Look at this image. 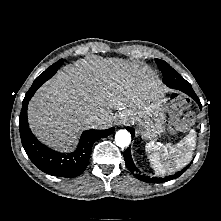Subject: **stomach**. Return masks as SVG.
Masks as SVG:
<instances>
[{
  "instance_id": "stomach-1",
  "label": "stomach",
  "mask_w": 221,
  "mask_h": 221,
  "mask_svg": "<svg viewBox=\"0 0 221 221\" xmlns=\"http://www.w3.org/2000/svg\"><path fill=\"white\" fill-rule=\"evenodd\" d=\"M163 102L164 96H161L143 107L126 109L120 113V116L132 124H137L143 138L152 139L163 133L165 129Z\"/></svg>"
}]
</instances>
